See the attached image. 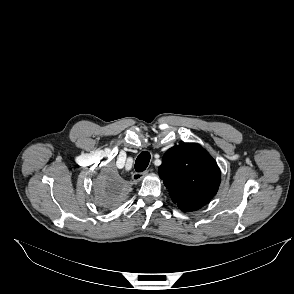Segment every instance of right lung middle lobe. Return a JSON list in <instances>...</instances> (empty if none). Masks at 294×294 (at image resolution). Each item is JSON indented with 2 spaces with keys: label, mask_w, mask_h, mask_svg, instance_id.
I'll use <instances>...</instances> for the list:
<instances>
[{
  "label": "right lung middle lobe",
  "mask_w": 294,
  "mask_h": 294,
  "mask_svg": "<svg viewBox=\"0 0 294 294\" xmlns=\"http://www.w3.org/2000/svg\"><path fill=\"white\" fill-rule=\"evenodd\" d=\"M124 196L123 188L117 183L107 179H99L96 184L95 202L103 208L117 206Z\"/></svg>",
  "instance_id": "dd1d6c3e"
}]
</instances>
